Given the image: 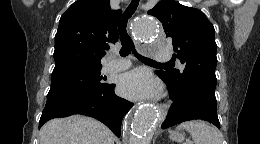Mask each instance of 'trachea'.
I'll list each match as a JSON object with an SVG mask.
<instances>
[{
	"label": "trachea",
	"mask_w": 260,
	"mask_h": 144,
	"mask_svg": "<svg viewBox=\"0 0 260 144\" xmlns=\"http://www.w3.org/2000/svg\"><path fill=\"white\" fill-rule=\"evenodd\" d=\"M139 4V0H132L128 8L125 10L123 14V18L119 24V33H120V40H121V49H120V55L122 57H125L129 55L130 52H132L140 61L144 63H149V64H170L171 62L167 63H158L150 58L144 57L140 54L137 53L134 43L130 36L127 33L126 27H127V22L128 19L133 15V13L136 11L137 7Z\"/></svg>",
	"instance_id": "trachea-1"
}]
</instances>
